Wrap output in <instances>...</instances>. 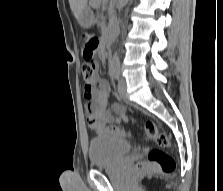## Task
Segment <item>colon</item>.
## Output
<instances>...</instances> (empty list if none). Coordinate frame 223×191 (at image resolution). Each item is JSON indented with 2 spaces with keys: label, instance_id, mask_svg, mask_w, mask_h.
<instances>
[{
  "label": "colon",
  "instance_id": "colon-1",
  "mask_svg": "<svg viewBox=\"0 0 223 191\" xmlns=\"http://www.w3.org/2000/svg\"><path fill=\"white\" fill-rule=\"evenodd\" d=\"M99 52V39L96 36L88 35L84 40L82 64V76L86 83H92L96 71V58ZM146 136L150 140H155L158 148L149 151L147 161L137 164V171L141 173L159 171L163 174H171L174 172L176 164L171 155L164 149L169 148L171 143L169 136L159 132L153 121L145 123ZM107 133L116 137H126L128 133L118 127L111 126Z\"/></svg>",
  "mask_w": 223,
  "mask_h": 191
}]
</instances>
